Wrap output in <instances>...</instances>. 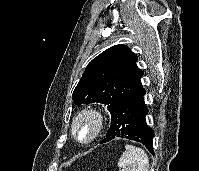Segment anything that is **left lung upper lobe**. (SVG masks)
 I'll use <instances>...</instances> for the list:
<instances>
[{
  "mask_svg": "<svg viewBox=\"0 0 199 171\" xmlns=\"http://www.w3.org/2000/svg\"><path fill=\"white\" fill-rule=\"evenodd\" d=\"M136 61L137 56L123 44L103 51L86 67L73 92V101L76 104L103 103L112 114L141 83L143 72Z\"/></svg>",
  "mask_w": 199,
  "mask_h": 171,
  "instance_id": "5c2ea615",
  "label": "left lung upper lobe"
}]
</instances>
